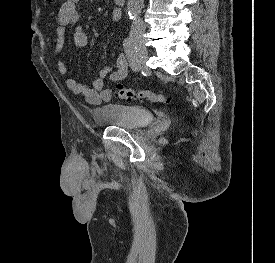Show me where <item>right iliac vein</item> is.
Listing matches in <instances>:
<instances>
[{"instance_id":"obj_1","label":"right iliac vein","mask_w":275,"mask_h":263,"mask_svg":"<svg viewBox=\"0 0 275 263\" xmlns=\"http://www.w3.org/2000/svg\"><path fill=\"white\" fill-rule=\"evenodd\" d=\"M133 44L136 48L137 55H138L139 59L141 61L146 60L147 57H148V50H147L143 40L140 39V38H134L133 39Z\"/></svg>"}]
</instances>
